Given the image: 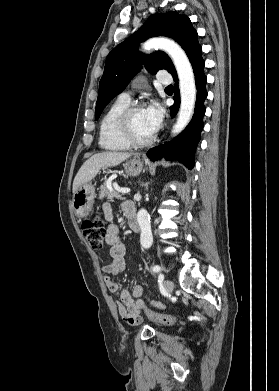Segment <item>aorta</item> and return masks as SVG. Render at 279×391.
<instances>
[{
  "label": "aorta",
  "instance_id": "1",
  "mask_svg": "<svg viewBox=\"0 0 279 391\" xmlns=\"http://www.w3.org/2000/svg\"><path fill=\"white\" fill-rule=\"evenodd\" d=\"M145 51L161 49L172 59L179 78L181 104L177 122L172 129V134L180 133L190 122L196 102V85L193 69L184 50L174 41L167 38H152L144 43ZM141 234L140 243L144 248L151 247L153 236L151 231L150 216L145 209H140L137 214Z\"/></svg>",
  "mask_w": 279,
  "mask_h": 391
}]
</instances>
